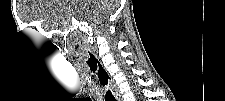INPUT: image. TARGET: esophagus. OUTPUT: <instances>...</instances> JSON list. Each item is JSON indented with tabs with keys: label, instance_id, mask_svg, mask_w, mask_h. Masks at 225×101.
<instances>
[{
	"label": "esophagus",
	"instance_id": "esophagus-1",
	"mask_svg": "<svg viewBox=\"0 0 225 101\" xmlns=\"http://www.w3.org/2000/svg\"><path fill=\"white\" fill-rule=\"evenodd\" d=\"M118 101H122V98L120 96H117Z\"/></svg>",
	"mask_w": 225,
	"mask_h": 101
}]
</instances>
